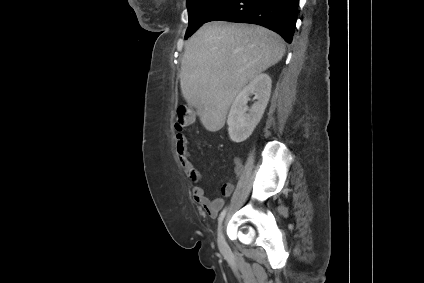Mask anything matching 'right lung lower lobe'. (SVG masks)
<instances>
[{
    "mask_svg": "<svg viewBox=\"0 0 424 283\" xmlns=\"http://www.w3.org/2000/svg\"><path fill=\"white\" fill-rule=\"evenodd\" d=\"M299 0H229L208 20L252 23L280 34L291 43Z\"/></svg>",
    "mask_w": 424,
    "mask_h": 283,
    "instance_id": "98d812e1",
    "label": "right lung lower lobe"
}]
</instances>
